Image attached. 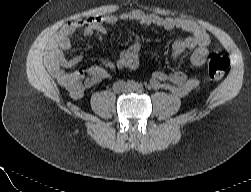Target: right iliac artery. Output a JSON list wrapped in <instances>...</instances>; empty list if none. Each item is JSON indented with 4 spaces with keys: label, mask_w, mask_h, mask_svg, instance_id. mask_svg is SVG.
<instances>
[{
    "label": "right iliac artery",
    "mask_w": 251,
    "mask_h": 192,
    "mask_svg": "<svg viewBox=\"0 0 251 192\" xmlns=\"http://www.w3.org/2000/svg\"><path fill=\"white\" fill-rule=\"evenodd\" d=\"M127 85L130 87V88H135L136 87V83L133 81V80H129L127 82Z\"/></svg>",
    "instance_id": "obj_1"
}]
</instances>
